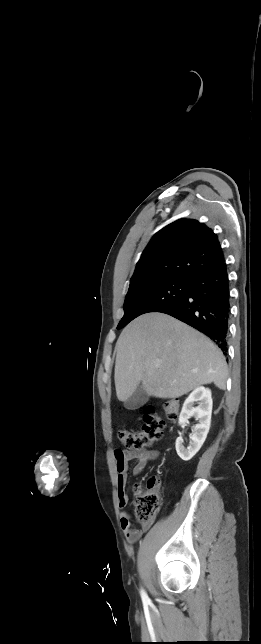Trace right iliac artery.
<instances>
[{"label":"right iliac artery","mask_w":261,"mask_h":644,"mask_svg":"<svg viewBox=\"0 0 261 644\" xmlns=\"http://www.w3.org/2000/svg\"><path fill=\"white\" fill-rule=\"evenodd\" d=\"M141 597H142L143 600L148 599V597H147L146 593L144 592V590H141Z\"/></svg>","instance_id":"obj_1"}]
</instances>
